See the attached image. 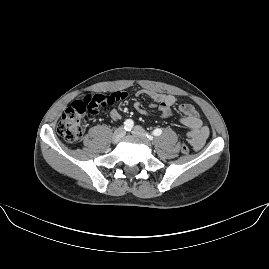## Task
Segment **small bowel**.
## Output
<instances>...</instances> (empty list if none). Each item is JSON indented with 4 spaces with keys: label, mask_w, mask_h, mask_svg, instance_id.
Masks as SVG:
<instances>
[{
    "label": "small bowel",
    "mask_w": 269,
    "mask_h": 269,
    "mask_svg": "<svg viewBox=\"0 0 269 269\" xmlns=\"http://www.w3.org/2000/svg\"><path fill=\"white\" fill-rule=\"evenodd\" d=\"M146 95L151 98L152 102L150 103L151 107H156L161 113L163 118H168L171 116V108L176 103V98L173 95L169 94H160L152 90H139L137 96ZM134 109L141 115H148V111L143 107L141 101L136 100L133 104ZM179 111L182 116L178 119L179 123L187 127L189 142L193 150H200L208 136L209 129L203 124V121L194 108L193 105L189 103H183L179 105ZM109 117L112 121H117L120 119L121 114L118 110L114 109L109 113Z\"/></svg>",
    "instance_id": "obj_1"
}]
</instances>
